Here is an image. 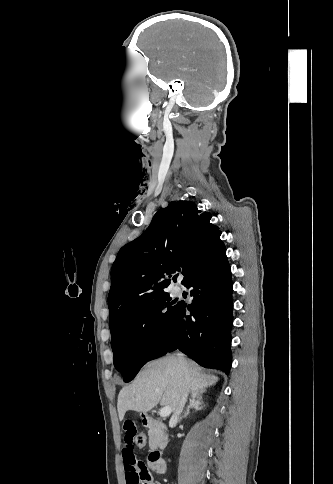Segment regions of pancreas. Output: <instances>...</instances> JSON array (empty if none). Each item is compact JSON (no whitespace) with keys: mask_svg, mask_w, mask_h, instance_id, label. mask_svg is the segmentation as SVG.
I'll return each mask as SVG.
<instances>
[{"mask_svg":"<svg viewBox=\"0 0 333 484\" xmlns=\"http://www.w3.org/2000/svg\"><path fill=\"white\" fill-rule=\"evenodd\" d=\"M149 447L155 449L167 442V437L161 428L152 427L148 431Z\"/></svg>","mask_w":333,"mask_h":484,"instance_id":"pancreas-1","label":"pancreas"}]
</instances>
